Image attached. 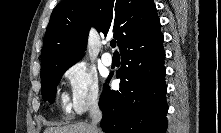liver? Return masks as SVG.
I'll list each match as a JSON object with an SVG mask.
<instances>
[{"mask_svg": "<svg viewBox=\"0 0 221 133\" xmlns=\"http://www.w3.org/2000/svg\"><path fill=\"white\" fill-rule=\"evenodd\" d=\"M44 133H94V130L91 125L79 122L62 127H49Z\"/></svg>", "mask_w": 221, "mask_h": 133, "instance_id": "liver-1", "label": "liver"}]
</instances>
